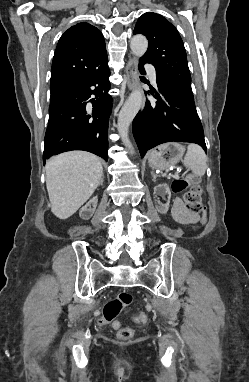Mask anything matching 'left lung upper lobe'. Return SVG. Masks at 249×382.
I'll return each instance as SVG.
<instances>
[{
  "instance_id": "obj_1",
  "label": "left lung upper lobe",
  "mask_w": 249,
  "mask_h": 382,
  "mask_svg": "<svg viewBox=\"0 0 249 382\" xmlns=\"http://www.w3.org/2000/svg\"><path fill=\"white\" fill-rule=\"evenodd\" d=\"M139 33L149 43L141 59L155 67L157 79L193 97L186 52L177 29L163 16L148 12L137 21L133 34Z\"/></svg>"
}]
</instances>
